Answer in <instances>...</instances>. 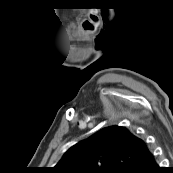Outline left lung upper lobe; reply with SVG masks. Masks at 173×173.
Instances as JSON below:
<instances>
[{"mask_svg":"<svg viewBox=\"0 0 173 173\" xmlns=\"http://www.w3.org/2000/svg\"><path fill=\"white\" fill-rule=\"evenodd\" d=\"M152 155L146 143L120 126L100 130L72 146L56 173H137Z\"/></svg>","mask_w":173,"mask_h":173,"instance_id":"obj_1","label":"left lung upper lobe"}]
</instances>
